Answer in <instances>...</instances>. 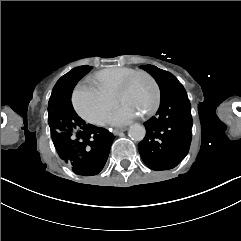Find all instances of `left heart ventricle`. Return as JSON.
Listing matches in <instances>:
<instances>
[{"mask_svg": "<svg viewBox=\"0 0 241 241\" xmlns=\"http://www.w3.org/2000/svg\"><path fill=\"white\" fill-rule=\"evenodd\" d=\"M124 96L123 106L137 114L146 112L155 99L153 87L143 76L126 87Z\"/></svg>", "mask_w": 241, "mask_h": 241, "instance_id": "left-heart-ventricle-1", "label": "left heart ventricle"}]
</instances>
